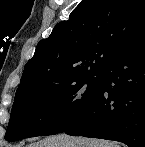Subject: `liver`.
Returning a JSON list of instances; mask_svg holds the SVG:
<instances>
[{
    "label": "liver",
    "instance_id": "liver-1",
    "mask_svg": "<svg viewBox=\"0 0 145 147\" xmlns=\"http://www.w3.org/2000/svg\"><path fill=\"white\" fill-rule=\"evenodd\" d=\"M28 147H120L115 142L100 139L83 137H72L66 134L46 137L38 142L28 145Z\"/></svg>",
    "mask_w": 145,
    "mask_h": 147
}]
</instances>
